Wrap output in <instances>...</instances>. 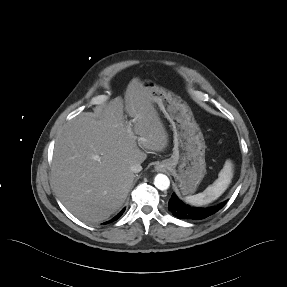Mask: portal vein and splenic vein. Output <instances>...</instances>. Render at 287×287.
<instances>
[{
	"label": "portal vein and splenic vein",
	"mask_w": 287,
	"mask_h": 287,
	"mask_svg": "<svg viewBox=\"0 0 287 287\" xmlns=\"http://www.w3.org/2000/svg\"><path fill=\"white\" fill-rule=\"evenodd\" d=\"M133 121H134V120H133ZM133 121H132V122H133ZM128 126H129V127L131 126V122L128 123Z\"/></svg>",
	"instance_id": "18ae733b"
}]
</instances>
